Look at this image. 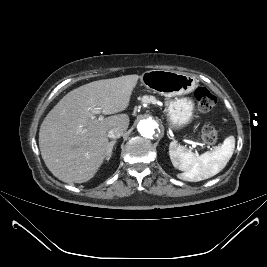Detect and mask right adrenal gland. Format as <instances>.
<instances>
[{"label":"right adrenal gland","mask_w":267,"mask_h":267,"mask_svg":"<svg viewBox=\"0 0 267 267\" xmlns=\"http://www.w3.org/2000/svg\"><path fill=\"white\" fill-rule=\"evenodd\" d=\"M115 143H116V139L109 142V153H108V156L106 158L107 160H109L111 155H112V150H113V146Z\"/></svg>","instance_id":"1"}]
</instances>
